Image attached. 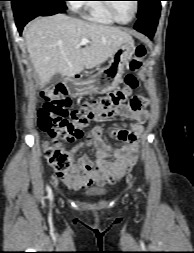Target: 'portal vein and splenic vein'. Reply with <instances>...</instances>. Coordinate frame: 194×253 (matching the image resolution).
<instances>
[{
    "instance_id": "portal-vein-and-splenic-vein-1",
    "label": "portal vein and splenic vein",
    "mask_w": 194,
    "mask_h": 253,
    "mask_svg": "<svg viewBox=\"0 0 194 253\" xmlns=\"http://www.w3.org/2000/svg\"><path fill=\"white\" fill-rule=\"evenodd\" d=\"M90 41L88 40V39H86V38H82L81 39V41H80V43L82 44V45H85V44H87V43H89Z\"/></svg>"
}]
</instances>
